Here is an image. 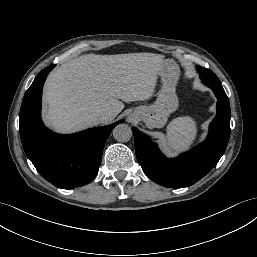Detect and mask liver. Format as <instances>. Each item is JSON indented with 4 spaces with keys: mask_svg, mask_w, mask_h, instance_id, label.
<instances>
[{
    "mask_svg": "<svg viewBox=\"0 0 257 257\" xmlns=\"http://www.w3.org/2000/svg\"><path fill=\"white\" fill-rule=\"evenodd\" d=\"M164 61L153 53L86 54L63 64L44 86L47 125L60 132L78 131L98 125L101 112L116 117L124 108L120 100H148Z\"/></svg>",
    "mask_w": 257,
    "mask_h": 257,
    "instance_id": "1",
    "label": "liver"
}]
</instances>
